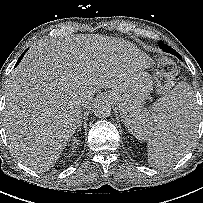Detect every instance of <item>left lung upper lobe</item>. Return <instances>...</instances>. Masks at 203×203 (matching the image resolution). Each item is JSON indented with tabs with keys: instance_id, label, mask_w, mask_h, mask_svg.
<instances>
[{
	"instance_id": "1",
	"label": "left lung upper lobe",
	"mask_w": 203,
	"mask_h": 203,
	"mask_svg": "<svg viewBox=\"0 0 203 203\" xmlns=\"http://www.w3.org/2000/svg\"><path fill=\"white\" fill-rule=\"evenodd\" d=\"M163 45H164L163 42H160V46H161L162 48H163Z\"/></svg>"
}]
</instances>
